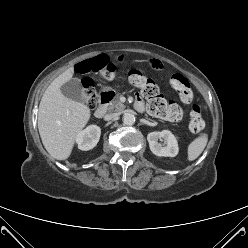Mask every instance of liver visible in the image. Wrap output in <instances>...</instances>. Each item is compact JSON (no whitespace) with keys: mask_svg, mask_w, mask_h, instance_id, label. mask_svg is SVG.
I'll return each instance as SVG.
<instances>
[{"mask_svg":"<svg viewBox=\"0 0 248 248\" xmlns=\"http://www.w3.org/2000/svg\"><path fill=\"white\" fill-rule=\"evenodd\" d=\"M73 74L74 68L70 67L56 77L39 104V134L47 152L57 160L71 155L78 134L91 116L89 107L65 97L60 90Z\"/></svg>","mask_w":248,"mask_h":248,"instance_id":"1","label":"liver"}]
</instances>
